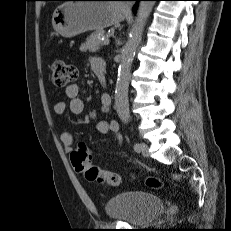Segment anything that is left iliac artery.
I'll return each mask as SVG.
<instances>
[{"instance_id":"obj_1","label":"left iliac artery","mask_w":231,"mask_h":231,"mask_svg":"<svg viewBox=\"0 0 231 231\" xmlns=\"http://www.w3.org/2000/svg\"><path fill=\"white\" fill-rule=\"evenodd\" d=\"M134 150L137 151V152H139V150H140V144L136 143L134 145Z\"/></svg>"}]
</instances>
